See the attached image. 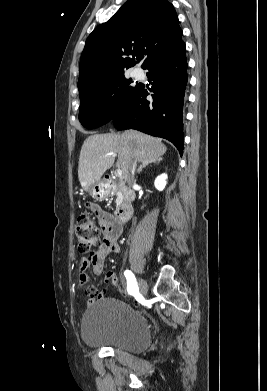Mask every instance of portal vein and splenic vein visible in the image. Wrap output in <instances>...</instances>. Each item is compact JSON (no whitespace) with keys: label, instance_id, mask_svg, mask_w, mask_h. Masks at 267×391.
Segmentation results:
<instances>
[{"label":"portal vein and splenic vein","instance_id":"portal-vein-and-splenic-vein-1","mask_svg":"<svg viewBox=\"0 0 267 391\" xmlns=\"http://www.w3.org/2000/svg\"><path fill=\"white\" fill-rule=\"evenodd\" d=\"M112 155L113 157L117 156L115 153L108 154L107 156ZM115 175L118 177H122V170L118 169L115 171Z\"/></svg>","mask_w":267,"mask_h":391}]
</instances>
